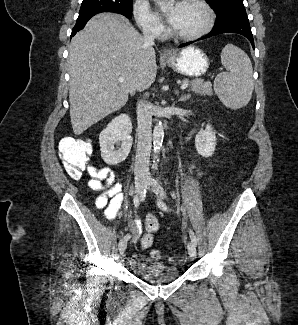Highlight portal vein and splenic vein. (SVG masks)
<instances>
[{
  "mask_svg": "<svg viewBox=\"0 0 298 325\" xmlns=\"http://www.w3.org/2000/svg\"><path fill=\"white\" fill-rule=\"evenodd\" d=\"M118 82H124L125 78L124 76H120V78H117ZM190 86V82H185V84H181L180 88L183 90V88H188Z\"/></svg>",
  "mask_w": 298,
  "mask_h": 325,
  "instance_id": "18ae733b",
  "label": "portal vein and splenic vein"
}]
</instances>
